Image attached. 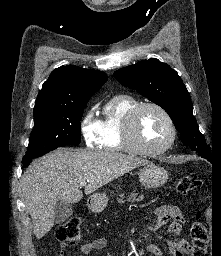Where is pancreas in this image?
Wrapping results in <instances>:
<instances>
[{
	"label": "pancreas",
	"mask_w": 221,
	"mask_h": 256,
	"mask_svg": "<svg viewBox=\"0 0 221 256\" xmlns=\"http://www.w3.org/2000/svg\"><path fill=\"white\" fill-rule=\"evenodd\" d=\"M124 198H125V195L124 194H121L120 195V199H118L119 202H124ZM143 199V196H139L137 197V194L136 193H132L129 198H128V201H141Z\"/></svg>",
	"instance_id": "obj_1"
}]
</instances>
